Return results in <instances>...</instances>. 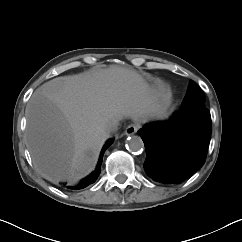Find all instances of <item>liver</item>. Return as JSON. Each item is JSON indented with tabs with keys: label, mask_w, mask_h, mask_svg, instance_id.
<instances>
[{
	"label": "liver",
	"mask_w": 242,
	"mask_h": 242,
	"mask_svg": "<svg viewBox=\"0 0 242 242\" xmlns=\"http://www.w3.org/2000/svg\"><path fill=\"white\" fill-rule=\"evenodd\" d=\"M170 99L163 88L154 91L137 72L118 66L44 83L26 107L35 167L49 181L76 182L94 170L108 122L166 117Z\"/></svg>",
	"instance_id": "liver-1"
}]
</instances>
